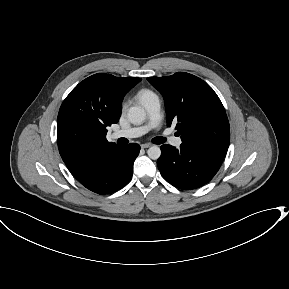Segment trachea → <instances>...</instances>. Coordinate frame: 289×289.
Instances as JSON below:
<instances>
[{"instance_id": "trachea-1", "label": "trachea", "mask_w": 289, "mask_h": 289, "mask_svg": "<svg viewBox=\"0 0 289 289\" xmlns=\"http://www.w3.org/2000/svg\"><path fill=\"white\" fill-rule=\"evenodd\" d=\"M166 141V138H164V137H157L156 139H155V143L156 144H162V143H164Z\"/></svg>"}]
</instances>
